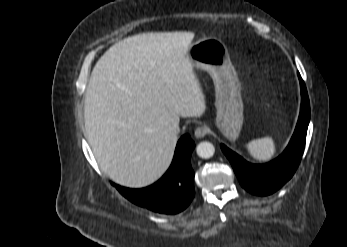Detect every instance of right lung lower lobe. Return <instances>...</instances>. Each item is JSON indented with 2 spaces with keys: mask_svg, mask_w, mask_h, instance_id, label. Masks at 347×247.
I'll use <instances>...</instances> for the list:
<instances>
[{
  "mask_svg": "<svg viewBox=\"0 0 347 247\" xmlns=\"http://www.w3.org/2000/svg\"><path fill=\"white\" fill-rule=\"evenodd\" d=\"M194 142L188 134L178 141L172 164L165 175L153 185L142 189H130L113 184L131 202L164 214L183 211L192 201L194 172L191 167V153Z\"/></svg>",
  "mask_w": 347,
  "mask_h": 247,
  "instance_id": "98d812e1",
  "label": "right lung lower lobe"
}]
</instances>
